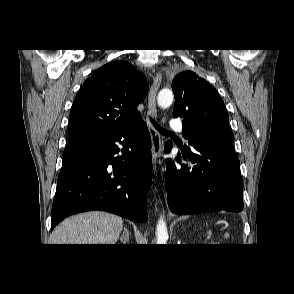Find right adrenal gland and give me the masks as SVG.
Masks as SVG:
<instances>
[{"instance_id": "obj_1", "label": "right adrenal gland", "mask_w": 294, "mask_h": 294, "mask_svg": "<svg viewBox=\"0 0 294 294\" xmlns=\"http://www.w3.org/2000/svg\"><path fill=\"white\" fill-rule=\"evenodd\" d=\"M129 236H130L129 230L126 227H124V231L122 236L120 237V241L121 242L123 241V243L126 244V242H129Z\"/></svg>"}]
</instances>
